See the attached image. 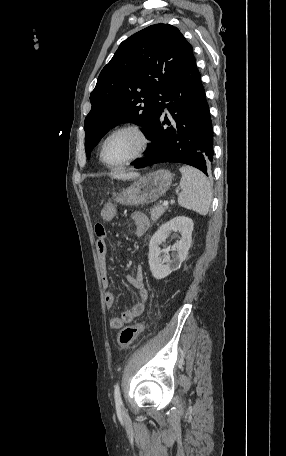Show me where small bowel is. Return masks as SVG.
I'll use <instances>...</instances> for the list:
<instances>
[{"label":"small bowel","mask_w":286,"mask_h":456,"mask_svg":"<svg viewBox=\"0 0 286 456\" xmlns=\"http://www.w3.org/2000/svg\"><path fill=\"white\" fill-rule=\"evenodd\" d=\"M116 214V207L108 204L103 207L101 217L104 221H110ZM130 221L133 225L136 235H143L149 228V220L147 216L141 212H132L130 214ZM97 236L96 251L100 263L101 280L105 288L110 286V276L106 264L107 256V231L103 224L95 226ZM128 282L139 290L142 298L141 302L134 304L129 309L123 311L120 315L114 316L110 319V327L113 329H120L125 324L131 322L135 318L141 316L145 309V300L148 297V291L145 285V275L142 265H137L133 271L127 276ZM105 304L107 307H112L115 304V295L111 291H106L104 295Z\"/></svg>","instance_id":"obj_1"}]
</instances>
